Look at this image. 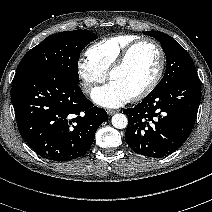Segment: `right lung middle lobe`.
I'll use <instances>...</instances> for the list:
<instances>
[{
	"label": "right lung middle lobe",
	"mask_w": 212,
	"mask_h": 212,
	"mask_svg": "<svg viewBox=\"0 0 212 212\" xmlns=\"http://www.w3.org/2000/svg\"><path fill=\"white\" fill-rule=\"evenodd\" d=\"M96 38L97 35L85 30L50 35L24 56L18 65L15 78L32 73L51 72L78 84V56Z\"/></svg>",
	"instance_id": "dd1d6c3e"
}]
</instances>
